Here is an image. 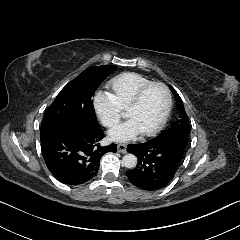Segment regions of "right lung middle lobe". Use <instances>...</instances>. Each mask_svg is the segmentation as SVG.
<instances>
[{"mask_svg": "<svg viewBox=\"0 0 240 240\" xmlns=\"http://www.w3.org/2000/svg\"><path fill=\"white\" fill-rule=\"evenodd\" d=\"M116 66L90 67L69 82L46 110L41 123V134L70 125L100 126L95 117L92 97L100 83Z\"/></svg>", "mask_w": 240, "mask_h": 240, "instance_id": "obj_1", "label": "right lung middle lobe"}]
</instances>
